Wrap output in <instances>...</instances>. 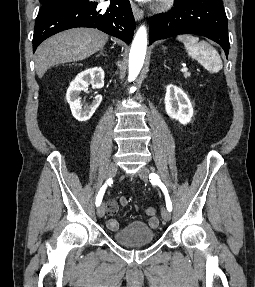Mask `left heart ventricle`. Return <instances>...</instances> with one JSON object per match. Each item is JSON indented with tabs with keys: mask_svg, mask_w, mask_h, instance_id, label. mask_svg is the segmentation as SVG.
Segmentation results:
<instances>
[{
	"mask_svg": "<svg viewBox=\"0 0 255 287\" xmlns=\"http://www.w3.org/2000/svg\"><path fill=\"white\" fill-rule=\"evenodd\" d=\"M157 33V32H152ZM146 39H159V38H146ZM135 48H163V47H135Z\"/></svg>",
	"mask_w": 255,
	"mask_h": 287,
	"instance_id": "1",
	"label": "left heart ventricle"
}]
</instances>
